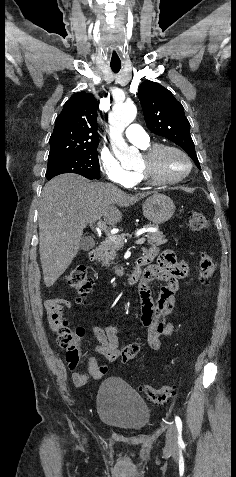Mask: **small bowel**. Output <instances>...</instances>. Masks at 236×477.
I'll return each instance as SVG.
<instances>
[{
	"mask_svg": "<svg viewBox=\"0 0 236 477\" xmlns=\"http://www.w3.org/2000/svg\"><path fill=\"white\" fill-rule=\"evenodd\" d=\"M142 257L153 260L157 263L144 270L145 282L139 287V299L141 310V323L147 331V343L152 349L161 347L162 338L170 335L174 330V324L167 321L166 317L175 305V294L179 290V280L187 274V264L178 261L174 252L166 249L159 252L156 248H151ZM181 263L185 274L178 272V264ZM159 280L163 282L159 291V296L154 299L148 287L151 281ZM72 303L64 298H53L45 302V312L53 334H57L60 328L59 320L62 317L64 306L70 307ZM120 327L112 324L107 327L92 326L90 332L98 340L94 347V352L103 355L108 362H115L121 354L119 346ZM88 372L76 373L73 381L76 385H84L89 378L101 379L108 372L107 365H99L94 358L88 359Z\"/></svg>",
	"mask_w": 236,
	"mask_h": 477,
	"instance_id": "obj_1",
	"label": "small bowel"
}]
</instances>
